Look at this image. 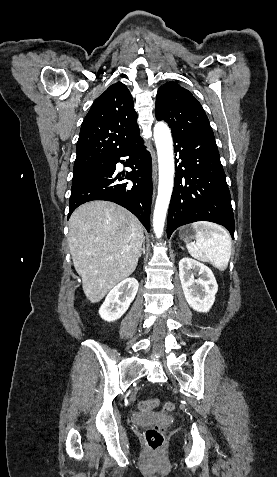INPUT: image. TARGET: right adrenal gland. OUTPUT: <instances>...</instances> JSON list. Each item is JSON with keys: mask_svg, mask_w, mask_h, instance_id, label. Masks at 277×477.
<instances>
[{"mask_svg": "<svg viewBox=\"0 0 277 477\" xmlns=\"http://www.w3.org/2000/svg\"><path fill=\"white\" fill-rule=\"evenodd\" d=\"M142 254L145 255V240H143V247H142V250H141L140 257H141Z\"/></svg>", "mask_w": 277, "mask_h": 477, "instance_id": "1", "label": "right adrenal gland"}]
</instances>
